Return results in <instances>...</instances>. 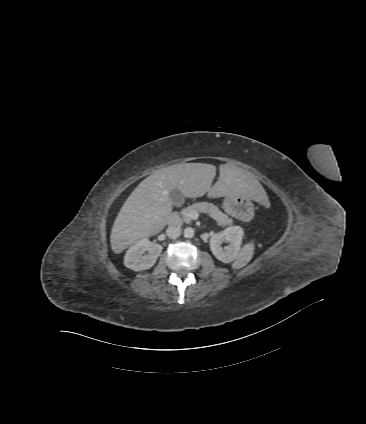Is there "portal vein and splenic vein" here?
Listing matches in <instances>:
<instances>
[{
    "mask_svg": "<svg viewBox=\"0 0 366 424\" xmlns=\"http://www.w3.org/2000/svg\"><path fill=\"white\" fill-rule=\"evenodd\" d=\"M184 215L191 220H197L199 217V213L197 211L186 212Z\"/></svg>",
    "mask_w": 366,
    "mask_h": 424,
    "instance_id": "obj_1",
    "label": "portal vein and splenic vein"
}]
</instances>
